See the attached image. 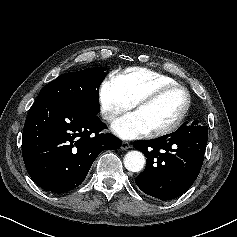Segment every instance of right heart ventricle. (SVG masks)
I'll list each match as a JSON object with an SVG mask.
<instances>
[{
	"instance_id": "e07e8e85",
	"label": "right heart ventricle",
	"mask_w": 237,
	"mask_h": 237,
	"mask_svg": "<svg viewBox=\"0 0 237 237\" xmlns=\"http://www.w3.org/2000/svg\"><path fill=\"white\" fill-rule=\"evenodd\" d=\"M113 78L132 104L158 86L176 83L173 78L165 74L139 67L115 73Z\"/></svg>"
}]
</instances>
